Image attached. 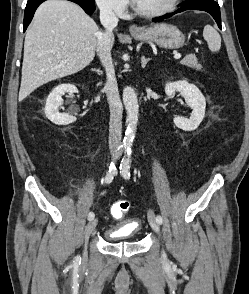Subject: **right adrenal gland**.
I'll list each match as a JSON object with an SVG mask.
<instances>
[{
	"mask_svg": "<svg viewBox=\"0 0 249 294\" xmlns=\"http://www.w3.org/2000/svg\"><path fill=\"white\" fill-rule=\"evenodd\" d=\"M93 71H96L98 74H102V71L100 69H92Z\"/></svg>",
	"mask_w": 249,
	"mask_h": 294,
	"instance_id": "2a0ac1e0",
	"label": "right adrenal gland"
}]
</instances>
